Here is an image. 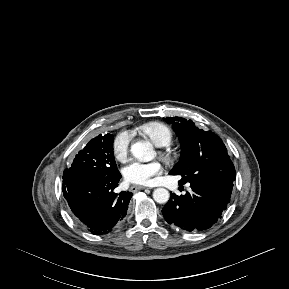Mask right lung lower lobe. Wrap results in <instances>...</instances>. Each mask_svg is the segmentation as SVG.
Instances as JSON below:
<instances>
[{
	"instance_id": "obj_1",
	"label": "right lung lower lobe",
	"mask_w": 289,
	"mask_h": 289,
	"mask_svg": "<svg viewBox=\"0 0 289 289\" xmlns=\"http://www.w3.org/2000/svg\"><path fill=\"white\" fill-rule=\"evenodd\" d=\"M121 174L118 169L103 177L77 172L63 174V195L78 224L95 235L109 233L126 216L132 193L116 194Z\"/></svg>"
}]
</instances>
